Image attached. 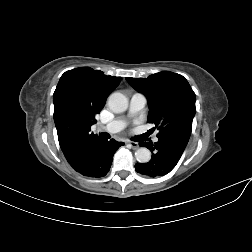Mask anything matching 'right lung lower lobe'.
<instances>
[{
    "instance_id": "1",
    "label": "right lung lower lobe",
    "mask_w": 252,
    "mask_h": 252,
    "mask_svg": "<svg viewBox=\"0 0 252 252\" xmlns=\"http://www.w3.org/2000/svg\"><path fill=\"white\" fill-rule=\"evenodd\" d=\"M124 145L114 139L97 138L79 145L66 160L73 169L87 177H103L109 171L116 150Z\"/></svg>"
}]
</instances>
